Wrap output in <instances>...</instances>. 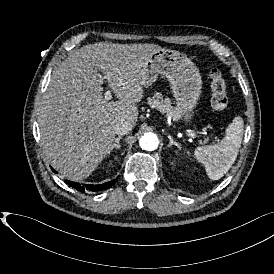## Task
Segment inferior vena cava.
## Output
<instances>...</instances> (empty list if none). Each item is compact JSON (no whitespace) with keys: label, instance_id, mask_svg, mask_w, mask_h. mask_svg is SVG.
<instances>
[{"label":"inferior vena cava","instance_id":"inferior-vena-cava-1","mask_svg":"<svg viewBox=\"0 0 274 274\" xmlns=\"http://www.w3.org/2000/svg\"><path fill=\"white\" fill-rule=\"evenodd\" d=\"M134 125L130 121H121L115 125L114 131L117 135H125L133 129Z\"/></svg>","mask_w":274,"mask_h":274}]
</instances>
